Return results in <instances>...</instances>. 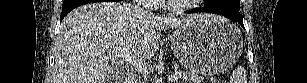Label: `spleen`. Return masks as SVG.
<instances>
[{
    "mask_svg": "<svg viewBox=\"0 0 307 83\" xmlns=\"http://www.w3.org/2000/svg\"><path fill=\"white\" fill-rule=\"evenodd\" d=\"M230 83H247L245 69L238 67L230 76Z\"/></svg>",
    "mask_w": 307,
    "mask_h": 83,
    "instance_id": "3e777b00",
    "label": "spleen"
}]
</instances>
